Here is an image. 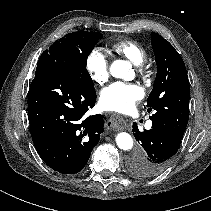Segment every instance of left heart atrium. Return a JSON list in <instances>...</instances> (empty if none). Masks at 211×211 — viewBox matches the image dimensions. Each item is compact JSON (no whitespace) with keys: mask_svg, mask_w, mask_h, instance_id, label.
<instances>
[{"mask_svg":"<svg viewBox=\"0 0 211 211\" xmlns=\"http://www.w3.org/2000/svg\"><path fill=\"white\" fill-rule=\"evenodd\" d=\"M142 88L136 84L115 82L102 90L100 104L108 111L125 113L143 98Z\"/></svg>","mask_w":211,"mask_h":211,"instance_id":"39dd6f15","label":"left heart atrium"}]
</instances>
